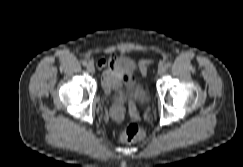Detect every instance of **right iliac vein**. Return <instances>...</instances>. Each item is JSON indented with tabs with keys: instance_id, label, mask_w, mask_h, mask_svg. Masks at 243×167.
Instances as JSON below:
<instances>
[{
	"instance_id": "obj_1",
	"label": "right iliac vein",
	"mask_w": 243,
	"mask_h": 167,
	"mask_svg": "<svg viewBox=\"0 0 243 167\" xmlns=\"http://www.w3.org/2000/svg\"><path fill=\"white\" fill-rule=\"evenodd\" d=\"M87 70H88L89 73H92V74L95 72V68H94V66L91 65V64H89V65L87 66Z\"/></svg>"
}]
</instances>
